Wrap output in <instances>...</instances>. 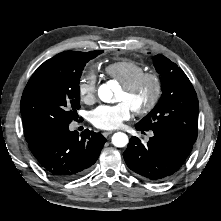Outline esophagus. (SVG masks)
<instances>
[{"label": "esophagus", "instance_id": "34e87169", "mask_svg": "<svg viewBox=\"0 0 221 221\" xmlns=\"http://www.w3.org/2000/svg\"><path fill=\"white\" fill-rule=\"evenodd\" d=\"M112 133H113V131H104V132H103V135H104L105 137H107V136L111 135Z\"/></svg>", "mask_w": 221, "mask_h": 221}]
</instances>
